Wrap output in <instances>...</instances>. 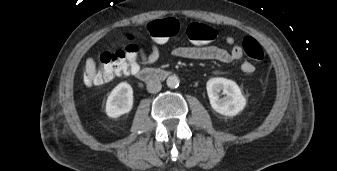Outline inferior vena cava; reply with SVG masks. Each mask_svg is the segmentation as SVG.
I'll use <instances>...</instances> for the list:
<instances>
[{
	"instance_id": "obj_1",
	"label": "inferior vena cava",
	"mask_w": 337,
	"mask_h": 171,
	"mask_svg": "<svg viewBox=\"0 0 337 171\" xmlns=\"http://www.w3.org/2000/svg\"><path fill=\"white\" fill-rule=\"evenodd\" d=\"M162 85L159 80L153 79L147 83V90L150 93H157L161 90Z\"/></svg>"
}]
</instances>
